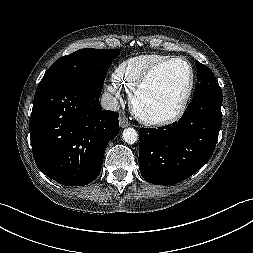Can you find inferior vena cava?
Returning a JSON list of instances; mask_svg holds the SVG:
<instances>
[{
  "label": "inferior vena cava",
  "instance_id": "602c4592",
  "mask_svg": "<svg viewBox=\"0 0 253 253\" xmlns=\"http://www.w3.org/2000/svg\"><path fill=\"white\" fill-rule=\"evenodd\" d=\"M101 106L103 109L118 111L120 108L119 102L115 96L110 93H103L101 98Z\"/></svg>",
  "mask_w": 253,
  "mask_h": 253
}]
</instances>
